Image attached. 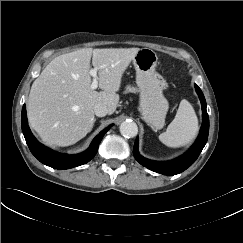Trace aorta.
<instances>
[{
  "label": "aorta",
  "mask_w": 243,
  "mask_h": 243,
  "mask_svg": "<svg viewBox=\"0 0 243 243\" xmlns=\"http://www.w3.org/2000/svg\"><path fill=\"white\" fill-rule=\"evenodd\" d=\"M119 128L121 135L126 138H133L138 133L137 124L130 120L122 122Z\"/></svg>",
  "instance_id": "obj_1"
}]
</instances>
